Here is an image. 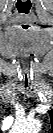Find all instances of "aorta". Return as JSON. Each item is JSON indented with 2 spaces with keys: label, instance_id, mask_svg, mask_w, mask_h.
Masks as SVG:
<instances>
[{
  "label": "aorta",
  "instance_id": "1",
  "mask_svg": "<svg viewBox=\"0 0 53 133\" xmlns=\"http://www.w3.org/2000/svg\"><path fill=\"white\" fill-rule=\"evenodd\" d=\"M17 131L21 133H35V131L40 129V123L36 120L25 121L15 126Z\"/></svg>",
  "mask_w": 53,
  "mask_h": 133
}]
</instances>
